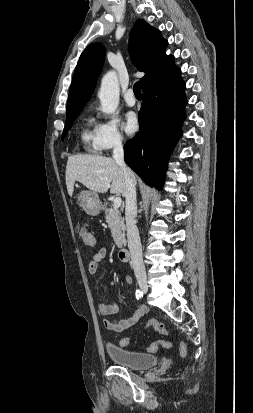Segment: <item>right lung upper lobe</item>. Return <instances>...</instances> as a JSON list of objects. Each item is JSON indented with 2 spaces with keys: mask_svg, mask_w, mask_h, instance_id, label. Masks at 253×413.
I'll list each match as a JSON object with an SVG mask.
<instances>
[{
  "mask_svg": "<svg viewBox=\"0 0 253 413\" xmlns=\"http://www.w3.org/2000/svg\"><path fill=\"white\" fill-rule=\"evenodd\" d=\"M166 45L159 30L142 19L136 21L130 33L129 49L134 65L145 73L141 79L143 89L177 68L174 57L165 53ZM105 51L102 44L93 43L82 52L70 86L66 117L79 114L90 99L97 76L102 71Z\"/></svg>",
  "mask_w": 253,
  "mask_h": 413,
  "instance_id": "1",
  "label": "right lung upper lobe"
}]
</instances>
